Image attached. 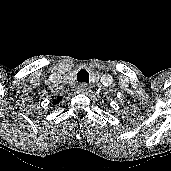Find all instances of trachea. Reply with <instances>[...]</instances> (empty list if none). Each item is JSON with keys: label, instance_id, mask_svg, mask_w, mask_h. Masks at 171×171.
I'll list each match as a JSON object with an SVG mask.
<instances>
[{"label": "trachea", "instance_id": "trachea-1", "mask_svg": "<svg viewBox=\"0 0 171 171\" xmlns=\"http://www.w3.org/2000/svg\"><path fill=\"white\" fill-rule=\"evenodd\" d=\"M77 81L78 82L89 83V73L85 69H81L77 73Z\"/></svg>", "mask_w": 171, "mask_h": 171}]
</instances>
